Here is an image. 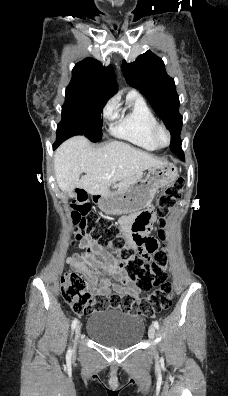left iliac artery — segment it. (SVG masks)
<instances>
[{
  "mask_svg": "<svg viewBox=\"0 0 228 396\" xmlns=\"http://www.w3.org/2000/svg\"><path fill=\"white\" fill-rule=\"evenodd\" d=\"M153 325H154V327H155L156 329L159 328V323H158L157 320L153 321Z\"/></svg>",
  "mask_w": 228,
  "mask_h": 396,
  "instance_id": "44dca946",
  "label": "left iliac artery"
}]
</instances>
